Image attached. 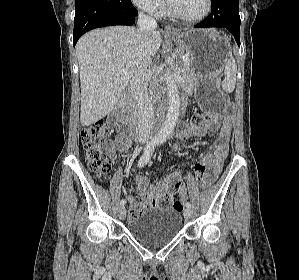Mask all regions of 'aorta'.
I'll list each match as a JSON object with an SVG mask.
<instances>
[{
  "label": "aorta",
  "instance_id": "aorta-1",
  "mask_svg": "<svg viewBox=\"0 0 299 280\" xmlns=\"http://www.w3.org/2000/svg\"><path fill=\"white\" fill-rule=\"evenodd\" d=\"M164 77L168 94V113L161 129L156 135V138L160 140H166L170 135L180 114V96L176 81L169 70L165 72Z\"/></svg>",
  "mask_w": 299,
  "mask_h": 280
}]
</instances>
